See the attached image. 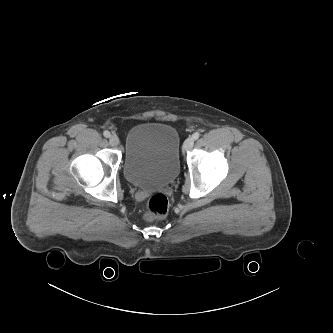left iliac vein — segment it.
Listing matches in <instances>:
<instances>
[{"label": "left iliac vein", "mask_w": 333, "mask_h": 333, "mask_svg": "<svg viewBox=\"0 0 333 333\" xmlns=\"http://www.w3.org/2000/svg\"><path fill=\"white\" fill-rule=\"evenodd\" d=\"M193 145H194V139L192 137H189L185 140L183 149L185 151L190 150V149H192Z\"/></svg>", "instance_id": "obj_1"}]
</instances>
